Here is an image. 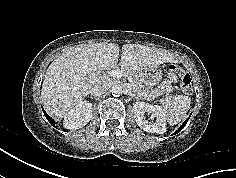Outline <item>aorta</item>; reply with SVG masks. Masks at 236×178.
<instances>
[{"mask_svg": "<svg viewBox=\"0 0 236 178\" xmlns=\"http://www.w3.org/2000/svg\"><path fill=\"white\" fill-rule=\"evenodd\" d=\"M112 95L113 96H120L121 94H123V88L119 85H114L111 89Z\"/></svg>", "mask_w": 236, "mask_h": 178, "instance_id": "762f6f07", "label": "aorta"}]
</instances>
